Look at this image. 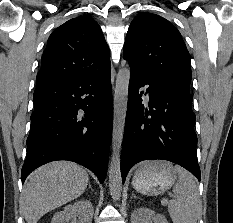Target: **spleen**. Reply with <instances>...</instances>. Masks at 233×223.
<instances>
[{"mask_svg": "<svg viewBox=\"0 0 233 223\" xmlns=\"http://www.w3.org/2000/svg\"><path fill=\"white\" fill-rule=\"evenodd\" d=\"M178 183L174 185L175 199L162 197V205H168V211L173 223H197L201 209L200 195L195 179L189 171L177 167Z\"/></svg>", "mask_w": 233, "mask_h": 223, "instance_id": "obj_1", "label": "spleen"}]
</instances>
